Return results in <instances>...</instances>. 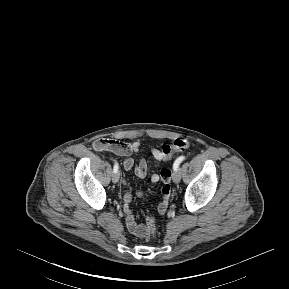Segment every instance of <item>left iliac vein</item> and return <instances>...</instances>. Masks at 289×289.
I'll list each match as a JSON object with an SVG mask.
<instances>
[{
    "mask_svg": "<svg viewBox=\"0 0 289 289\" xmlns=\"http://www.w3.org/2000/svg\"><path fill=\"white\" fill-rule=\"evenodd\" d=\"M172 179H173L174 183H179L180 182V180H181V171H180V169L174 171Z\"/></svg>",
    "mask_w": 289,
    "mask_h": 289,
    "instance_id": "4c4485c4",
    "label": "left iliac vein"
}]
</instances>
